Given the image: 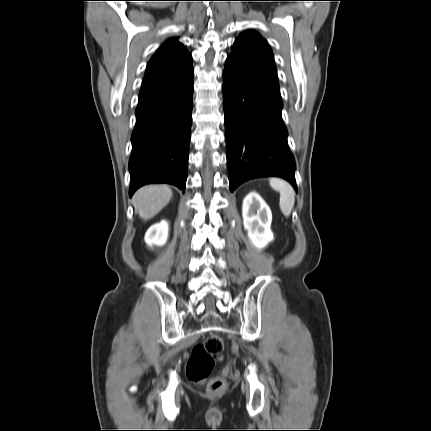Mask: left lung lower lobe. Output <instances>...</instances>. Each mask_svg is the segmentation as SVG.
Listing matches in <instances>:
<instances>
[{
    "instance_id": "1",
    "label": "left lung lower lobe",
    "mask_w": 431,
    "mask_h": 431,
    "mask_svg": "<svg viewBox=\"0 0 431 431\" xmlns=\"http://www.w3.org/2000/svg\"><path fill=\"white\" fill-rule=\"evenodd\" d=\"M223 105L230 190L260 177L295 182V160L287 143L280 89L225 67Z\"/></svg>"
}]
</instances>
